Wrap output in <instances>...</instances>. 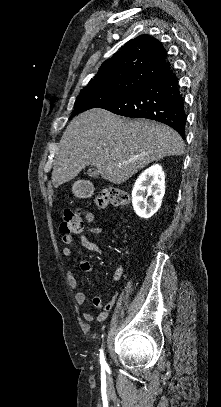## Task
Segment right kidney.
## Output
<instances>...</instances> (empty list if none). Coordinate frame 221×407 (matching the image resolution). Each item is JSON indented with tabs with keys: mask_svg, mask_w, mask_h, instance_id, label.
I'll use <instances>...</instances> for the list:
<instances>
[{
	"mask_svg": "<svg viewBox=\"0 0 221 407\" xmlns=\"http://www.w3.org/2000/svg\"><path fill=\"white\" fill-rule=\"evenodd\" d=\"M164 194V171L159 164L152 165L139 175L133 187L132 204L135 213L141 218H150L160 208ZM149 196L152 198L148 200Z\"/></svg>",
	"mask_w": 221,
	"mask_h": 407,
	"instance_id": "right-kidney-1",
	"label": "right kidney"
}]
</instances>
